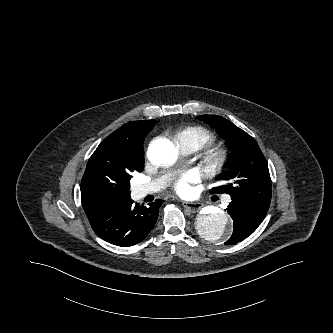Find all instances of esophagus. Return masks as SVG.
I'll return each mask as SVG.
<instances>
[{
    "label": "esophagus",
    "mask_w": 333,
    "mask_h": 333,
    "mask_svg": "<svg viewBox=\"0 0 333 333\" xmlns=\"http://www.w3.org/2000/svg\"><path fill=\"white\" fill-rule=\"evenodd\" d=\"M183 207L192 213H197L200 211L202 205L199 202H182Z\"/></svg>",
    "instance_id": "esophagus-1"
}]
</instances>
